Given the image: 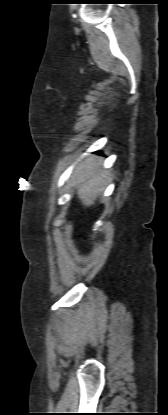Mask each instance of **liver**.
Returning a JSON list of instances; mask_svg holds the SVG:
<instances>
[{
    "label": "liver",
    "mask_w": 168,
    "mask_h": 415,
    "mask_svg": "<svg viewBox=\"0 0 168 415\" xmlns=\"http://www.w3.org/2000/svg\"><path fill=\"white\" fill-rule=\"evenodd\" d=\"M102 159L91 156L81 162L73 172L78 198L86 207L94 205L96 198L103 190L107 178L106 171L101 169Z\"/></svg>",
    "instance_id": "liver-1"
}]
</instances>
